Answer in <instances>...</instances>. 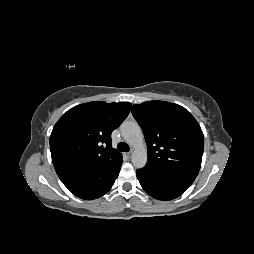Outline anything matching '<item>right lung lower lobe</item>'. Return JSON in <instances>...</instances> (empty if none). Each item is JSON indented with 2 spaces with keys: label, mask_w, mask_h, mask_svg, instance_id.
Listing matches in <instances>:
<instances>
[{
  "label": "right lung lower lobe",
  "mask_w": 254,
  "mask_h": 254,
  "mask_svg": "<svg viewBox=\"0 0 254 254\" xmlns=\"http://www.w3.org/2000/svg\"><path fill=\"white\" fill-rule=\"evenodd\" d=\"M122 158L97 167L73 168L58 174L74 195L85 200L99 198L113 186L122 165Z\"/></svg>",
  "instance_id": "98d812e1"
}]
</instances>
